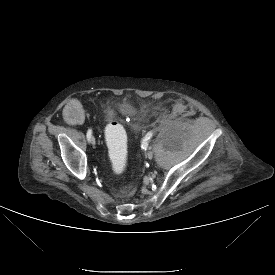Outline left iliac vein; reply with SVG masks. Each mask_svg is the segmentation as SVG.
Wrapping results in <instances>:
<instances>
[{
	"instance_id": "1",
	"label": "left iliac vein",
	"mask_w": 275,
	"mask_h": 275,
	"mask_svg": "<svg viewBox=\"0 0 275 275\" xmlns=\"http://www.w3.org/2000/svg\"><path fill=\"white\" fill-rule=\"evenodd\" d=\"M147 156H148V158H152V157H153V152H152V151H149V152L147 153Z\"/></svg>"
}]
</instances>
